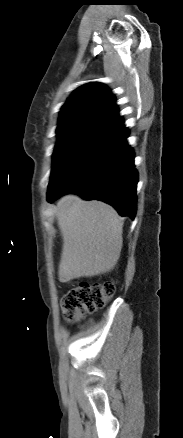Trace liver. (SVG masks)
Masks as SVG:
<instances>
[{
	"label": "liver",
	"mask_w": 183,
	"mask_h": 438,
	"mask_svg": "<svg viewBox=\"0 0 183 438\" xmlns=\"http://www.w3.org/2000/svg\"><path fill=\"white\" fill-rule=\"evenodd\" d=\"M56 217L63 238L59 281L110 272L122 249L123 220L100 201L65 195L56 202Z\"/></svg>",
	"instance_id": "6515ba94"
}]
</instances>
